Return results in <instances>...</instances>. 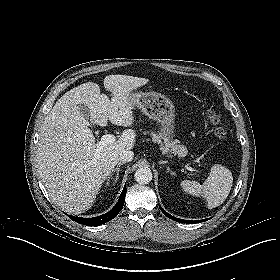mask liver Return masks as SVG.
Here are the masks:
<instances>
[{"instance_id": "obj_1", "label": "liver", "mask_w": 280, "mask_h": 280, "mask_svg": "<svg viewBox=\"0 0 280 280\" xmlns=\"http://www.w3.org/2000/svg\"><path fill=\"white\" fill-rule=\"evenodd\" d=\"M149 82L146 78L108 75L101 94L98 84L83 83L67 91L46 116L39 137L37 166L53 202L68 213L88 210L102 183L112 172L123 150L135 144V131L124 130L117 141L97 150L89 121L79 111L85 105L91 120L106 126L130 127L134 122L133 90Z\"/></svg>"}]
</instances>
